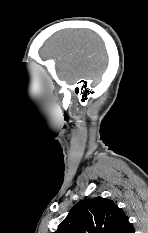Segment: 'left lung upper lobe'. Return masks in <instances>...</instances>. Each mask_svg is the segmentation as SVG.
Here are the masks:
<instances>
[{"label":"left lung upper lobe","instance_id":"left-lung-upper-lobe-1","mask_svg":"<svg viewBox=\"0 0 148 233\" xmlns=\"http://www.w3.org/2000/svg\"><path fill=\"white\" fill-rule=\"evenodd\" d=\"M131 227L112 200L95 197L76 203L54 233H127Z\"/></svg>","mask_w":148,"mask_h":233}]
</instances>
